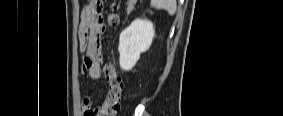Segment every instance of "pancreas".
Here are the masks:
<instances>
[{
  "mask_svg": "<svg viewBox=\"0 0 283 116\" xmlns=\"http://www.w3.org/2000/svg\"><path fill=\"white\" fill-rule=\"evenodd\" d=\"M133 10V7L129 6L126 10L127 13H130Z\"/></svg>",
  "mask_w": 283,
  "mask_h": 116,
  "instance_id": "obj_1",
  "label": "pancreas"
}]
</instances>
